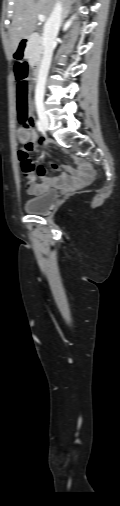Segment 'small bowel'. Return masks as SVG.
I'll use <instances>...</instances> for the list:
<instances>
[{
  "instance_id": "obj_1",
  "label": "small bowel",
  "mask_w": 120,
  "mask_h": 506,
  "mask_svg": "<svg viewBox=\"0 0 120 506\" xmlns=\"http://www.w3.org/2000/svg\"><path fill=\"white\" fill-rule=\"evenodd\" d=\"M31 125L33 126V122ZM34 138L36 140L35 134ZM40 146L43 147L44 143L41 142ZM19 159L27 179V192L33 196L43 193L54 185L80 187L91 182L94 178L93 170L80 159H75L77 168L65 165L64 169L67 173H62L58 177L49 176L41 162L36 163L30 157H23L20 153ZM68 174L71 175V178ZM37 176L41 179V184L35 182Z\"/></svg>"
}]
</instances>
